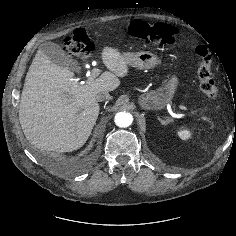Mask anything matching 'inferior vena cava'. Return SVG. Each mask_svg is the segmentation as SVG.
<instances>
[{"instance_id": "inferior-vena-cava-1", "label": "inferior vena cava", "mask_w": 236, "mask_h": 236, "mask_svg": "<svg viewBox=\"0 0 236 236\" xmlns=\"http://www.w3.org/2000/svg\"><path fill=\"white\" fill-rule=\"evenodd\" d=\"M109 99H111V96H110V94L108 92H105V91L99 92L96 95V100L98 102L109 100Z\"/></svg>"}]
</instances>
